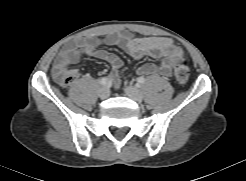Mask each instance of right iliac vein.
I'll list each match as a JSON object with an SVG mask.
<instances>
[{
    "label": "right iliac vein",
    "mask_w": 246,
    "mask_h": 181,
    "mask_svg": "<svg viewBox=\"0 0 246 181\" xmlns=\"http://www.w3.org/2000/svg\"><path fill=\"white\" fill-rule=\"evenodd\" d=\"M109 94H110V91L108 89V87H102L99 89L98 91V96L101 98V99H106L109 97Z\"/></svg>",
    "instance_id": "1"
}]
</instances>
